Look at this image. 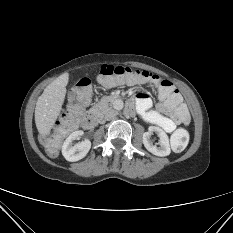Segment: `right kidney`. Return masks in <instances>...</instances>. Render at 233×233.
Here are the masks:
<instances>
[{
  "instance_id": "1",
  "label": "right kidney",
  "mask_w": 233,
  "mask_h": 233,
  "mask_svg": "<svg viewBox=\"0 0 233 233\" xmlns=\"http://www.w3.org/2000/svg\"><path fill=\"white\" fill-rule=\"evenodd\" d=\"M83 135V131L77 130L72 132L64 141L62 146V155L67 161L75 162L84 158L91 148V142L88 139H85L82 142H79L72 145V142L76 139H79Z\"/></svg>"
}]
</instances>
